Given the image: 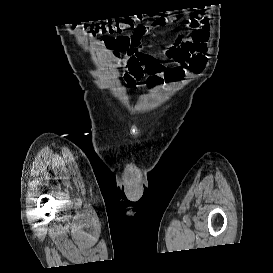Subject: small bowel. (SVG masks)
Masks as SVG:
<instances>
[{
  "label": "small bowel",
  "mask_w": 273,
  "mask_h": 273,
  "mask_svg": "<svg viewBox=\"0 0 273 273\" xmlns=\"http://www.w3.org/2000/svg\"><path fill=\"white\" fill-rule=\"evenodd\" d=\"M181 19L188 29L186 37L177 35L164 47L152 44L132 46L127 35L104 36L100 40L112 58L126 69L122 78L129 88L135 89L145 77L146 87L153 89L163 82L176 83L203 70L210 37L209 19L199 12L184 15ZM168 24L169 21L164 26ZM157 29L150 27L148 33H155ZM159 59L172 61L174 65L166 67Z\"/></svg>",
  "instance_id": "1"
}]
</instances>
